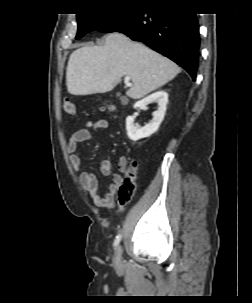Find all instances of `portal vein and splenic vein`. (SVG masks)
Returning <instances> with one entry per match:
<instances>
[{
    "label": "portal vein and splenic vein",
    "instance_id": "1",
    "mask_svg": "<svg viewBox=\"0 0 252 303\" xmlns=\"http://www.w3.org/2000/svg\"><path fill=\"white\" fill-rule=\"evenodd\" d=\"M124 82H125V85L132 86V84L130 83V79L128 77H125Z\"/></svg>",
    "mask_w": 252,
    "mask_h": 303
}]
</instances>
